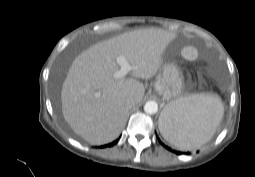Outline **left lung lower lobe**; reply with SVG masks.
Masks as SVG:
<instances>
[{"instance_id": "obj_1", "label": "left lung lower lobe", "mask_w": 255, "mask_h": 177, "mask_svg": "<svg viewBox=\"0 0 255 177\" xmlns=\"http://www.w3.org/2000/svg\"><path fill=\"white\" fill-rule=\"evenodd\" d=\"M160 141V140H159ZM167 150L171 151V152H174L178 155L180 154H190L189 152H180V151H177V150H173L172 148L166 146L165 144H163L162 142H160Z\"/></svg>"}]
</instances>
